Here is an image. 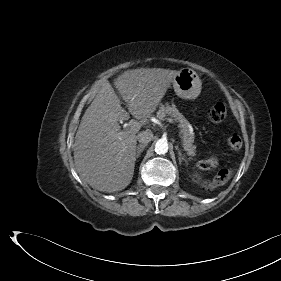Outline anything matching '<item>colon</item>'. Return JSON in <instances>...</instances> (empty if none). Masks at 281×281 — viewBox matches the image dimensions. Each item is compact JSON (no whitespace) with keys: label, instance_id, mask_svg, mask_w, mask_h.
Wrapping results in <instances>:
<instances>
[{"label":"colon","instance_id":"colon-1","mask_svg":"<svg viewBox=\"0 0 281 281\" xmlns=\"http://www.w3.org/2000/svg\"><path fill=\"white\" fill-rule=\"evenodd\" d=\"M226 115H227V110L225 105L222 103H217L213 105L208 111V118L214 123H220L224 121ZM227 144L231 149L238 150L242 146V139L238 134L232 133L227 138ZM216 165H217V159L214 156H212L208 159L203 160L200 163V168L210 169L212 167H215ZM230 177H231L230 170L227 169L220 170L212 181L206 182L204 184V187L205 189L208 190L213 189L227 182Z\"/></svg>","mask_w":281,"mask_h":281}]
</instances>
